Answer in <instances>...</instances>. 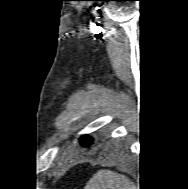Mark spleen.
<instances>
[{
	"mask_svg": "<svg viewBox=\"0 0 188 189\" xmlns=\"http://www.w3.org/2000/svg\"><path fill=\"white\" fill-rule=\"evenodd\" d=\"M85 189H133V186L123 175L109 170H100L89 180Z\"/></svg>",
	"mask_w": 188,
	"mask_h": 189,
	"instance_id": "3e777b00",
	"label": "spleen"
}]
</instances>
